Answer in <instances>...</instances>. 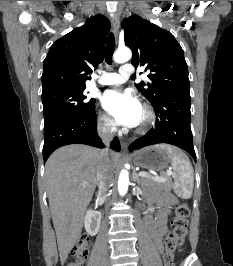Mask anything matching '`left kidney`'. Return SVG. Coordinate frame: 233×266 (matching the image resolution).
<instances>
[{"mask_svg":"<svg viewBox=\"0 0 233 266\" xmlns=\"http://www.w3.org/2000/svg\"><path fill=\"white\" fill-rule=\"evenodd\" d=\"M148 211H153V209L152 208H149Z\"/></svg>","mask_w":233,"mask_h":266,"instance_id":"left-kidney-1","label":"left kidney"}]
</instances>
